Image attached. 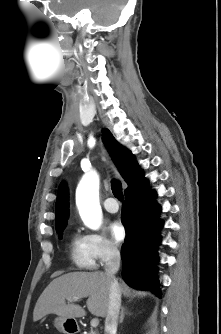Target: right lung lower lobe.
Segmentation results:
<instances>
[{"label": "right lung lower lobe", "mask_w": 221, "mask_h": 334, "mask_svg": "<svg viewBox=\"0 0 221 334\" xmlns=\"http://www.w3.org/2000/svg\"><path fill=\"white\" fill-rule=\"evenodd\" d=\"M151 192L144 179L140 184L125 191L121 221L126 229V238L121 249L123 279L131 287L150 290L161 296L160 283L156 277L158 262L157 246L160 244L159 219L161 207L153 202Z\"/></svg>", "instance_id": "obj_1"}]
</instances>
